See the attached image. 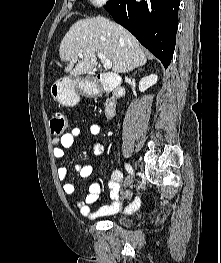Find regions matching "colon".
<instances>
[{"mask_svg": "<svg viewBox=\"0 0 221 263\" xmlns=\"http://www.w3.org/2000/svg\"><path fill=\"white\" fill-rule=\"evenodd\" d=\"M67 119L61 112H56L50 119L49 127L50 133L53 137L62 136L67 129Z\"/></svg>", "mask_w": 221, "mask_h": 263, "instance_id": "1", "label": "colon"}]
</instances>
